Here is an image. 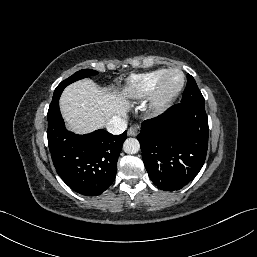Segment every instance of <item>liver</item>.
Wrapping results in <instances>:
<instances>
[{"label": "liver", "instance_id": "obj_1", "mask_svg": "<svg viewBox=\"0 0 257 257\" xmlns=\"http://www.w3.org/2000/svg\"><path fill=\"white\" fill-rule=\"evenodd\" d=\"M119 95L100 89L92 80L77 81L65 88L60 110L68 129L86 134L103 127L114 115L126 117V91Z\"/></svg>", "mask_w": 257, "mask_h": 257}]
</instances>
